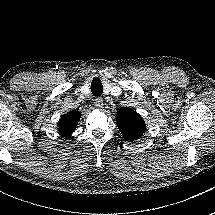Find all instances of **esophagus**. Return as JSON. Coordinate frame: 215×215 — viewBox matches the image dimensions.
Listing matches in <instances>:
<instances>
[{
    "label": "esophagus",
    "mask_w": 215,
    "mask_h": 215,
    "mask_svg": "<svg viewBox=\"0 0 215 215\" xmlns=\"http://www.w3.org/2000/svg\"><path fill=\"white\" fill-rule=\"evenodd\" d=\"M94 105L97 107V108H102L103 105H104V101L102 98H96L95 101H94Z\"/></svg>",
    "instance_id": "esophagus-1"
}]
</instances>
